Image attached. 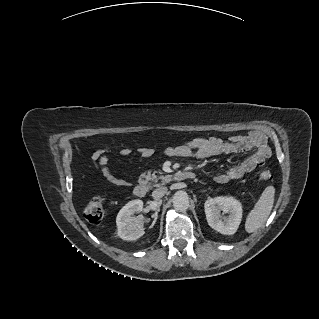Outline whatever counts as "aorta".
<instances>
[{
  "instance_id": "obj_1",
  "label": "aorta",
  "mask_w": 319,
  "mask_h": 319,
  "mask_svg": "<svg viewBox=\"0 0 319 319\" xmlns=\"http://www.w3.org/2000/svg\"><path fill=\"white\" fill-rule=\"evenodd\" d=\"M173 206L175 210L185 212L189 207V197L185 191H177L173 196Z\"/></svg>"
}]
</instances>
